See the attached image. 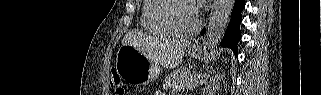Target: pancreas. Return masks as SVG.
<instances>
[{
  "instance_id": "pancreas-1",
  "label": "pancreas",
  "mask_w": 321,
  "mask_h": 95,
  "mask_svg": "<svg viewBox=\"0 0 321 95\" xmlns=\"http://www.w3.org/2000/svg\"><path fill=\"white\" fill-rule=\"evenodd\" d=\"M198 83L199 80L196 75H192L186 70H177L165 78L163 87L171 90L192 89L196 87Z\"/></svg>"
}]
</instances>
